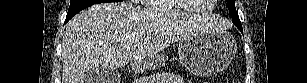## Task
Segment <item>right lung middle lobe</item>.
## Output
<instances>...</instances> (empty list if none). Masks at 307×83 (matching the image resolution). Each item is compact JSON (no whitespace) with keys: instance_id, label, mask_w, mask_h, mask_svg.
<instances>
[{"instance_id":"1","label":"right lung middle lobe","mask_w":307,"mask_h":83,"mask_svg":"<svg viewBox=\"0 0 307 83\" xmlns=\"http://www.w3.org/2000/svg\"><path fill=\"white\" fill-rule=\"evenodd\" d=\"M123 0H70V7L66 18L71 19L79 11L97 3L119 2Z\"/></svg>"}]
</instances>
